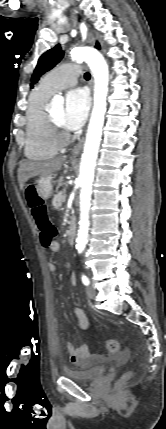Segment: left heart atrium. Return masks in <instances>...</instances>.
Wrapping results in <instances>:
<instances>
[{"instance_id":"left-heart-atrium-1","label":"left heart atrium","mask_w":166,"mask_h":429,"mask_svg":"<svg viewBox=\"0 0 166 429\" xmlns=\"http://www.w3.org/2000/svg\"><path fill=\"white\" fill-rule=\"evenodd\" d=\"M89 108L90 98L85 89L75 88L70 90L66 95L64 105L63 127L69 131L80 128L87 118Z\"/></svg>"}]
</instances>
